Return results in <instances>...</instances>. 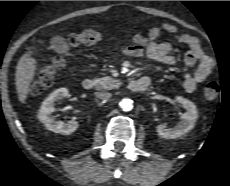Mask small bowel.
<instances>
[{
    "label": "small bowel",
    "instance_id": "small-bowel-1",
    "mask_svg": "<svg viewBox=\"0 0 230 186\" xmlns=\"http://www.w3.org/2000/svg\"><path fill=\"white\" fill-rule=\"evenodd\" d=\"M164 33L172 35L179 43L187 46L184 65L188 70L193 69V71L184 73L183 88L187 92H192L212 74L215 68V61L201 48L196 37L181 33L175 25L164 23L148 29L145 36L136 34L130 39V44L121 47L120 51L127 56H146L156 62L174 66L177 64V60L171 54V45L167 42L159 41V38Z\"/></svg>",
    "mask_w": 230,
    "mask_h": 186
}]
</instances>
